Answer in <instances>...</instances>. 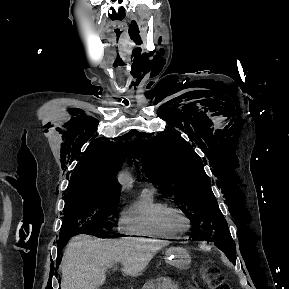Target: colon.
I'll use <instances>...</instances> for the list:
<instances>
[{
    "label": "colon",
    "mask_w": 289,
    "mask_h": 289,
    "mask_svg": "<svg viewBox=\"0 0 289 289\" xmlns=\"http://www.w3.org/2000/svg\"><path fill=\"white\" fill-rule=\"evenodd\" d=\"M206 279L210 283L212 289L221 288V289H231L229 284L220 282L218 279L217 272L213 269H208L205 273Z\"/></svg>",
    "instance_id": "1"
}]
</instances>
